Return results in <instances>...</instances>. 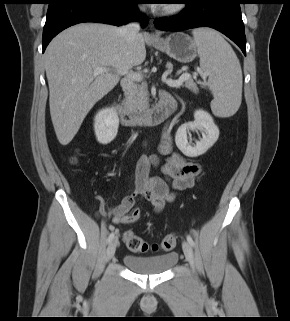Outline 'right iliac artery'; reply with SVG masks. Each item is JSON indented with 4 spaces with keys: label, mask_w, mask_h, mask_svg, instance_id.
I'll list each match as a JSON object with an SVG mask.
<instances>
[{
    "label": "right iliac artery",
    "mask_w": 290,
    "mask_h": 321,
    "mask_svg": "<svg viewBox=\"0 0 290 321\" xmlns=\"http://www.w3.org/2000/svg\"><path fill=\"white\" fill-rule=\"evenodd\" d=\"M114 236H115V233L112 232V233L109 235L107 242L110 243V242L114 239Z\"/></svg>",
    "instance_id": "1"
}]
</instances>
